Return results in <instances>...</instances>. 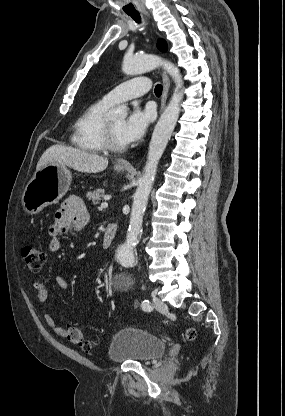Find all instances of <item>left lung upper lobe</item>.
I'll use <instances>...</instances> for the list:
<instances>
[{
	"instance_id": "obj_1",
	"label": "left lung upper lobe",
	"mask_w": 285,
	"mask_h": 416,
	"mask_svg": "<svg viewBox=\"0 0 285 416\" xmlns=\"http://www.w3.org/2000/svg\"><path fill=\"white\" fill-rule=\"evenodd\" d=\"M157 46H158V49L162 52H165L167 50V45L165 41L163 40H159Z\"/></svg>"
}]
</instances>
